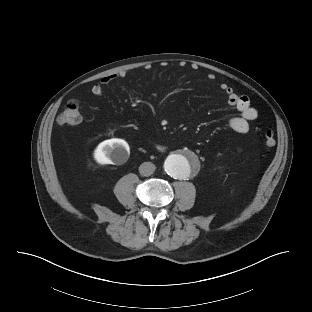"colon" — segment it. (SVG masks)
<instances>
[{
    "mask_svg": "<svg viewBox=\"0 0 312 312\" xmlns=\"http://www.w3.org/2000/svg\"><path fill=\"white\" fill-rule=\"evenodd\" d=\"M81 112L77 102L67 103L65 109L58 115L57 122L61 125H78L81 122ZM264 142L266 146L273 147L276 143L275 135L272 130L264 132Z\"/></svg>",
    "mask_w": 312,
    "mask_h": 312,
    "instance_id": "5ec220e1",
    "label": "colon"
}]
</instances>
